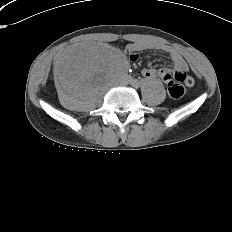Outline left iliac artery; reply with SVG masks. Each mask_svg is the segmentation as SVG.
<instances>
[{
    "instance_id": "44dca946",
    "label": "left iliac artery",
    "mask_w": 232,
    "mask_h": 232,
    "mask_svg": "<svg viewBox=\"0 0 232 232\" xmlns=\"http://www.w3.org/2000/svg\"><path fill=\"white\" fill-rule=\"evenodd\" d=\"M131 84L133 85V87L135 88H139L140 87V82L138 80H133V81H130Z\"/></svg>"
}]
</instances>
